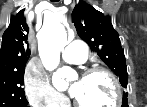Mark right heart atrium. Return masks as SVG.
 I'll return each mask as SVG.
<instances>
[{"mask_svg":"<svg viewBox=\"0 0 147 107\" xmlns=\"http://www.w3.org/2000/svg\"><path fill=\"white\" fill-rule=\"evenodd\" d=\"M24 85L28 101L33 106L57 107L64 102L63 96L49 83L47 75L34 65L27 67Z\"/></svg>","mask_w":147,"mask_h":107,"instance_id":"d8ad5b80","label":"right heart atrium"}]
</instances>
